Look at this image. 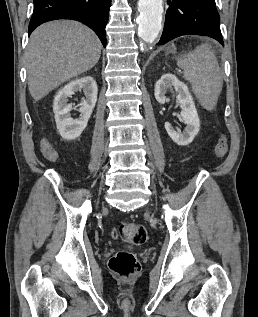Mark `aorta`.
Masks as SVG:
<instances>
[{
    "mask_svg": "<svg viewBox=\"0 0 258 317\" xmlns=\"http://www.w3.org/2000/svg\"><path fill=\"white\" fill-rule=\"evenodd\" d=\"M138 10V36L151 44L162 28L163 0H139Z\"/></svg>",
    "mask_w": 258,
    "mask_h": 317,
    "instance_id": "aorta-1",
    "label": "aorta"
}]
</instances>
